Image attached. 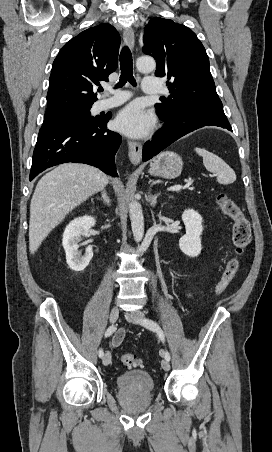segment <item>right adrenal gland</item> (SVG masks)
<instances>
[{"instance_id":"right-adrenal-gland-1","label":"right adrenal gland","mask_w":272,"mask_h":452,"mask_svg":"<svg viewBox=\"0 0 272 452\" xmlns=\"http://www.w3.org/2000/svg\"><path fill=\"white\" fill-rule=\"evenodd\" d=\"M98 200H101L103 202L104 205L110 206V198L106 192L105 189H102L101 191V197H97Z\"/></svg>"}]
</instances>
